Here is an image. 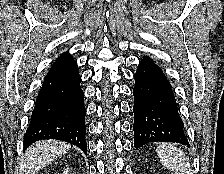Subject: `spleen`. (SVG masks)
Returning a JSON list of instances; mask_svg holds the SVG:
<instances>
[{
    "label": "spleen",
    "mask_w": 224,
    "mask_h": 174,
    "mask_svg": "<svg viewBox=\"0 0 224 174\" xmlns=\"http://www.w3.org/2000/svg\"><path fill=\"white\" fill-rule=\"evenodd\" d=\"M157 155L171 174H191L189 159L185 153L171 143H162L157 147Z\"/></svg>",
    "instance_id": "3e777b00"
}]
</instances>
